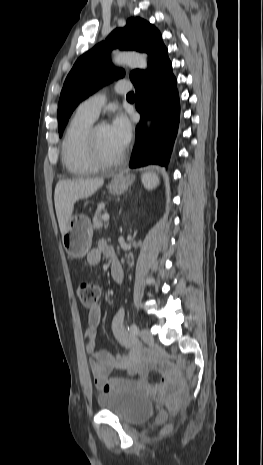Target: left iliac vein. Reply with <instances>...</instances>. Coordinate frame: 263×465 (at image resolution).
<instances>
[{
	"mask_svg": "<svg viewBox=\"0 0 263 465\" xmlns=\"http://www.w3.org/2000/svg\"><path fill=\"white\" fill-rule=\"evenodd\" d=\"M140 336L142 338V340L147 343V344H152L153 341H154V338H153V335L151 334V332L146 329V328H143L141 331H140Z\"/></svg>",
	"mask_w": 263,
	"mask_h": 465,
	"instance_id": "1",
	"label": "left iliac vein"
}]
</instances>
